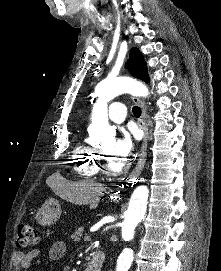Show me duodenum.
I'll use <instances>...</instances> for the list:
<instances>
[{"mask_svg": "<svg viewBox=\"0 0 221 271\" xmlns=\"http://www.w3.org/2000/svg\"><path fill=\"white\" fill-rule=\"evenodd\" d=\"M105 262V254L103 251H96L93 253L91 260L85 267L84 271H101Z\"/></svg>", "mask_w": 221, "mask_h": 271, "instance_id": "obj_1", "label": "duodenum"}]
</instances>
